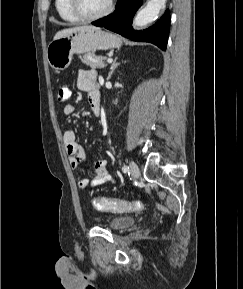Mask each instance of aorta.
Instances as JSON below:
<instances>
[{
    "instance_id": "obj_1",
    "label": "aorta",
    "mask_w": 243,
    "mask_h": 289,
    "mask_svg": "<svg viewBox=\"0 0 243 289\" xmlns=\"http://www.w3.org/2000/svg\"><path fill=\"white\" fill-rule=\"evenodd\" d=\"M166 0H149L135 16L134 27H143L153 22L159 15L161 9L165 6Z\"/></svg>"
}]
</instances>
